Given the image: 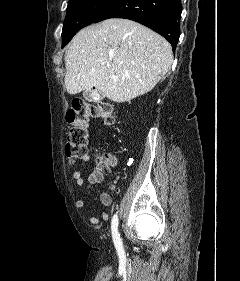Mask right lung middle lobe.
<instances>
[{"instance_id": "dd1d6c3e", "label": "right lung middle lobe", "mask_w": 240, "mask_h": 281, "mask_svg": "<svg viewBox=\"0 0 240 281\" xmlns=\"http://www.w3.org/2000/svg\"><path fill=\"white\" fill-rule=\"evenodd\" d=\"M116 0H69L62 29L63 45L94 21Z\"/></svg>"}]
</instances>
